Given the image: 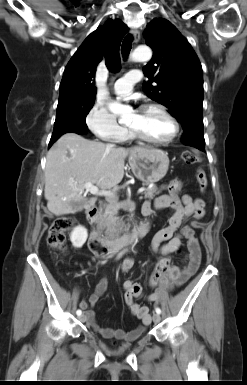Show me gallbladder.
<instances>
[{
    "label": "gallbladder",
    "mask_w": 247,
    "mask_h": 385,
    "mask_svg": "<svg viewBox=\"0 0 247 385\" xmlns=\"http://www.w3.org/2000/svg\"><path fill=\"white\" fill-rule=\"evenodd\" d=\"M77 205H78V204H76V203H75V204H73V208H75Z\"/></svg>",
    "instance_id": "obj_1"
}]
</instances>
